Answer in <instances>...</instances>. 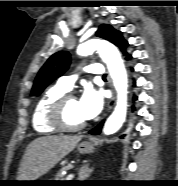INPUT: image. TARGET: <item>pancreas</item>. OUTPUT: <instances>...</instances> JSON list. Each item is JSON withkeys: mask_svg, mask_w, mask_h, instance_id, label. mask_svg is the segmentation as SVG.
Listing matches in <instances>:
<instances>
[{"mask_svg": "<svg viewBox=\"0 0 178 186\" xmlns=\"http://www.w3.org/2000/svg\"><path fill=\"white\" fill-rule=\"evenodd\" d=\"M71 168V166L63 167L58 173L55 175V181H66L65 176L62 174V171Z\"/></svg>", "mask_w": 178, "mask_h": 186, "instance_id": "pancreas-1", "label": "pancreas"}]
</instances>
